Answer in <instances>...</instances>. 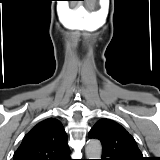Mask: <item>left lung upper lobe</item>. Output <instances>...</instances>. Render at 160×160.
Returning <instances> with one entry per match:
<instances>
[{
    "instance_id": "left-lung-upper-lobe-1",
    "label": "left lung upper lobe",
    "mask_w": 160,
    "mask_h": 160,
    "mask_svg": "<svg viewBox=\"0 0 160 160\" xmlns=\"http://www.w3.org/2000/svg\"><path fill=\"white\" fill-rule=\"evenodd\" d=\"M89 138L101 141V160H145L134 138L113 120L103 118L97 121Z\"/></svg>"
}]
</instances>
